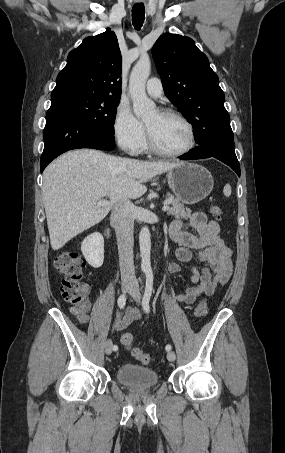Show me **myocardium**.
<instances>
[{"label": "myocardium", "mask_w": 285, "mask_h": 453, "mask_svg": "<svg viewBox=\"0 0 285 453\" xmlns=\"http://www.w3.org/2000/svg\"><path fill=\"white\" fill-rule=\"evenodd\" d=\"M161 116H166V117H174L182 121L186 127L188 128L189 134H190V141L187 147L180 151H167L162 149L154 140L153 136L151 135L149 129L145 126V131H146V141H147V147L150 151H152L155 154L165 156V157H181L189 152H191L197 142L196 139V132L193 124L190 122L188 118H186L183 114L180 112L173 110V109H161L157 111Z\"/></svg>", "instance_id": "myocardium-1"}]
</instances>
